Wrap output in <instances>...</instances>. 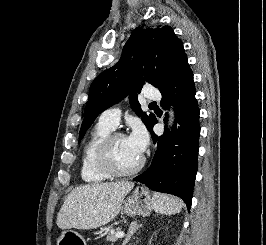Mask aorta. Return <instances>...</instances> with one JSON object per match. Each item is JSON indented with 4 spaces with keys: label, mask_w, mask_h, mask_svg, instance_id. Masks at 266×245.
<instances>
[{
    "label": "aorta",
    "mask_w": 266,
    "mask_h": 245,
    "mask_svg": "<svg viewBox=\"0 0 266 245\" xmlns=\"http://www.w3.org/2000/svg\"><path fill=\"white\" fill-rule=\"evenodd\" d=\"M173 120H174V110H173V106H172V108H170V110H169V118H168L169 127H171V125H173Z\"/></svg>",
    "instance_id": "762f6f07"
}]
</instances>
